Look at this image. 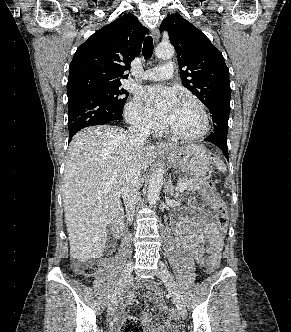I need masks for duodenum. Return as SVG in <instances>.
I'll list each match as a JSON object with an SVG mask.
<instances>
[{
  "instance_id": "410a0bca",
  "label": "duodenum",
  "mask_w": 291,
  "mask_h": 332,
  "mask_svg": "<svg viewBox=\"0 0 291 332\" xmlns=\"http://www.w3.org/2000/svg\"><path fill=\"white\" fill-rule=\"evenodd\" d=\"M124 228V218L122 214H118L112 222V233L115 237H120L122 235Z\"/></svg>"
}]
</instances>
